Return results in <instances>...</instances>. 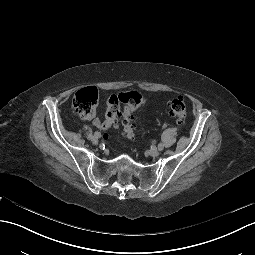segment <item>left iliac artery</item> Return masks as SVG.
I'll return each mask as SVG.
<instances>
[{"label": "left iliac artery", "mask_w": 255, "mask_h": 255, "mask_svg": "<svg viewBox=\"0 0 255 255\" xmlns=\"http://www.w3.org/2000/svg\"><path fill=\"white\" fill-rule=\"evenodd\" d=\"M163 148H164L163 144H162V143H159V144H158V149H159V150H163Z\"/></svg>", "instance_id": "44dca946"}]
</instances>
